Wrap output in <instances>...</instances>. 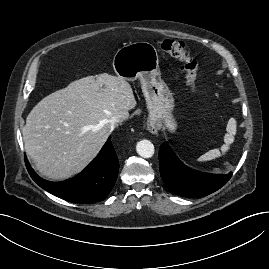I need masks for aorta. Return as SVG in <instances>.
Listing matches in <instances>:
<instances>
[{
  "label": "aorta",
  "instance_id": "762f6f07",
  "mask_svg": "<svg viewBox=\"0 0 269 269\" xmlns=\"http://www.w3.org/2000/svg\"><path fill=\"white\" fill-rule=\"evenodd\" d=\"M137 153L143 158H150L154 154V145L146 139L139 141L136 145Z\"/></svg>",
  "mask_w": 269,
  "mask_h": 269
}]
</instances>
